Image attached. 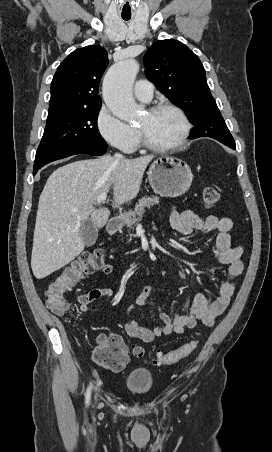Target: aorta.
Wrapping results in <instances>:
<instances>
[{
  "instance_id": "aorta-1",
  "label": "aorta",
  "mask_w": 272,
  "mask_h": 452,
  "mask_svg": "<svg viewBox=\"0 0 272 452\" xmlns=\"http://www.w3.org/2000/svg\"><path fill=\"white\" fill-rule=\"evenodd\" d=\"M138 71V62L128 59L113 65L103 80L105 104L116 117L124 121H132L138 116V107L132 94Z\"/></svg>"
}]
</instances>
